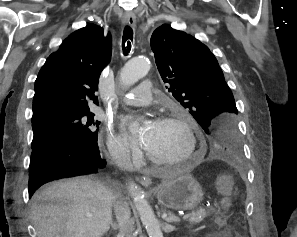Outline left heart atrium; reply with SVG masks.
<instances>
[{"label":"left heart atrium","instance_id":"39dd6f15","mask_svg":"<svg viewBox=\"0 0 297 237\" xmlns=\"http://www.w3.org/2000/svg\"><path fill=\"white\" fill-rule=\"evenodd\" d=\"M158 121L151 118H142L138 115H130L122 118V127L129 138L135 143L146 148L156 131ZM135 125H139L137 132H132L131 128Z\"/></svg>","mask_w":297,"mask_h":237}]
</instances>
